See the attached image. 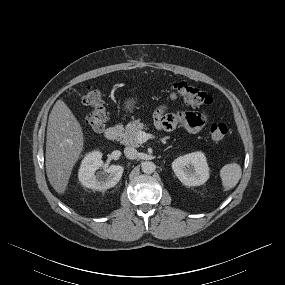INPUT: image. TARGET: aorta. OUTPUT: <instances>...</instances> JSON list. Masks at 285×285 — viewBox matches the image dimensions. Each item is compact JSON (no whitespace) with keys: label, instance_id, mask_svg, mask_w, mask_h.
Instances as JSON below:
<instances>
[{"label":"aorta","instance_id":"aorta-1","mask_svg":"<svg viewBox=\"0 0 285 285\" xmlns=\"http://www.w3.org/2000/svg\"><path fill=\"white\" fill-rule=\"evenodd\" d=\"M141 167H142V171L146 174H151L156 169L155 164L150 161L143 162Z\"/></svg>","mask_w":285,"mask_h":285}]
</instances>
